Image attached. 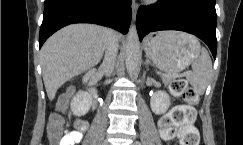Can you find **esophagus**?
Returning <instances> with one entry per match:
<instances>
[{"instance_id":"34e87169","label":"esophagus","mask_w":243,"mask_h":145,"mask_svg":"<svg viewBox=\"0 0 243 145\" xmlns=\"http://www.w3.org/2000/svg\"><path fill=\"white\" fill-rule=\"evenodd\" d=\"M131 8H132V17H133V20L135 21L137 11H138V4H137V2H135V0L132 1Z\"/></svg>"}]
</instances>
